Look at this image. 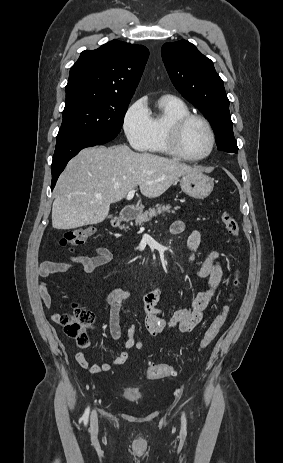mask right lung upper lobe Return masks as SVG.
<instances>
[{"label": "right lung upper lobe", "instance_id": "1", "mask_svg": "<svg viewBox=\"0 0 283 463\" xmlns=\"http://www.w3.org/2000/svg\"><path fill=\"white\" fill-rule=\"evenodd\" d=\"M148 56L146 47L118 40L85 50L70 69L66 96L86 91L132 98Z\"/></svg>", "mask_w": 283, "mask_h": 463}]
</instances>
